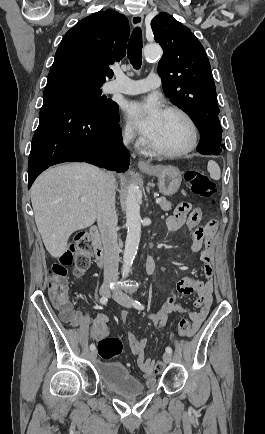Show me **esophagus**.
Wrapping results in <instances>:
<instances>
[{
	"label": "esophagus",
	"instance_id": "esophagus-1",
	"mask_svg": "<svg viewBox=\"0 0 265 434\" xmlns=\"http://www.w3.org/2000/svg\"><path fill=\"white\" fill-rule=\"evenodd\" d=\"M131 22L133 27H140L143 23V15L141 13L133 15ZM138 167L140 168L149 167V164L144 162V160H139Z\"/></svg>",
	"mask_w": 265,
	"mask_h": 434
}]
</instances>
